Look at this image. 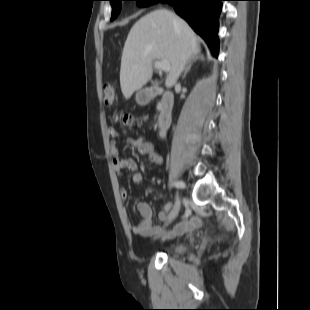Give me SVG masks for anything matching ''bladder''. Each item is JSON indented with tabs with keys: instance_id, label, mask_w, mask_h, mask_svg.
<instances>
[{
	"instance_id": "1",
	"label": "bladder",
	"mask_w": 310,
	"mask_h": 310,
	"mask_svg": "<svg viewBox=\"0 0 310 310\" xmlns=\"http://www.w3.org/2000/svg\"><path fill=\"white\" fill-rule=\"evenodd\" d=\"M190 245L187 241H177L167 248V254L170 256H181L186 253Z\"/></svg>"
}]
</instances>
